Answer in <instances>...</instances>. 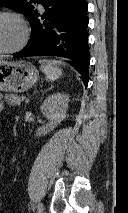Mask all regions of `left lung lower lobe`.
Here are the masks:
<instances>
[{"instance_id":"left-lung-lower-lobe-1","label":"left lung lower lobe","mask_w":128,"mask_h":213,"mask_svg":"<svg viewBox=\"0 0 128 213\" xmlns=\"http://www.w3.org/2000/svg\"><path fill=\"white\" fill-rule=\"evenodd\" d=\"M46 13L40 15L34 8L31 39L15 57L60 56L69 62L85 80L89 79V50L87 41L88 9L86 0H37ZM39 17L44 19L40 21Z\"/></svg>"}]
</instances>
